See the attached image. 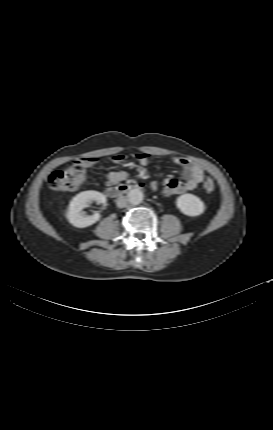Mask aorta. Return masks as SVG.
Listing matches in <instances>:
<instances>
[{"label":"aorta","mask_w":273,"mask_h":430,"mask_svg":"<svg viewBox=\"0 0 273 430\" xmlns=\"http://www.w3.org/2000/svg\"><path fill=\"white\" fill-rule=\"evenodd\" d=\"M144 194L141 189L134 188L131 189L127 194V199L130 204L138 205L143 201Z\"/></svg>","instance_id":"762f6f07"}]
</instances>
